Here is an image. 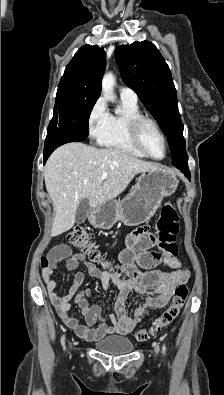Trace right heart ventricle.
Segmentation results:
<instances>
[{
  "instance_id": "obj_1",
  "label": "right heart ventricle",
  "mask_w": 224,
  "mask_h": 395,
  "mask_svg": "<svg viewBox=\"0 0 224 395\" xmlns=\"http://www.w3.org/2000/svg\"><path fill=\"white\" fill-rule=\"evenodd\" d=\"M122 111L109 114L105 131L98 139L99 143L107 148L117 150L128 155L145 158L146 156L132 143L128 124L130 119L142 115L137 102L121 98Z\"/></svg>"
}]
</instances>
